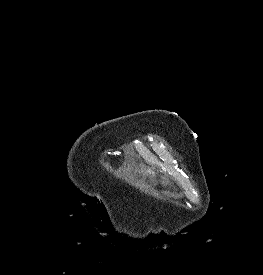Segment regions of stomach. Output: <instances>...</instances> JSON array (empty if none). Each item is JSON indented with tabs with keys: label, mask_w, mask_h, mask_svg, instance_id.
Here are the masks:
<instances>
[{
	"label": "stomach",
	"mask_w": 263,
	"mask_h": 275,
	"mask_svg": "<svg viewBox=\"0 0 263 275\" xmlns=\"http://www.w3.org/2000/svg\"><path fill=\"white\" fill-rule=\"evenodd\" d=\"M164 184H166L167 183V180H164V182H163Z\"/></svg>",
	"instance_id": "0dacf381"
}]
</instances>
